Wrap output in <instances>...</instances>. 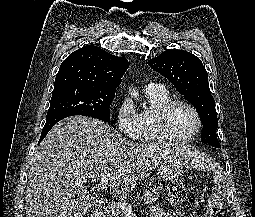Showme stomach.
Instances as JSON below:
<instances>
[{"instance_id":"stomach-1","label":"stomach","mask_w":255,"mask_h":217,"mask_svg":"<svg viewBox=\"0 0 255 217\" xmlns=\"http://www.w3.org/2000/svg\"><path fill=\"white\" fill-rule=\"evenodd\" d=\"M189 157L173 150L161 160L158 167L160 179L171 181L178 178L183 172V165L187 164Z\"/></svg>"}]
</instances>
